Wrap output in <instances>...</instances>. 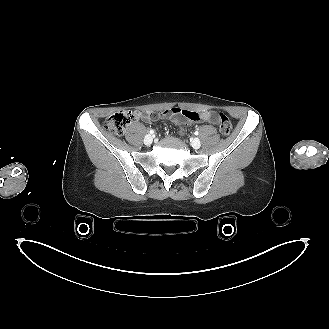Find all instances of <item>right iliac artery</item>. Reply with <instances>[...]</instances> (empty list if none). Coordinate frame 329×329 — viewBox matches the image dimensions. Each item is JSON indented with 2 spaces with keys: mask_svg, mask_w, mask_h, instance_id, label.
<instances>
[{
  "mask_svg": "<svg viewBox=\"0 0 329 329\" xmlns=\"http://www.w3.org/2000/svg\"><path fill=\"white\" fill-rule=\"evenodd\" d=\"M150 134H154V130H150Z\"/></svg>",
  "mask_w": 329,
  "mask_h": 329,
  "instance_id": "right-iliac-artery-1",
  "label": "right iliac artery"
}]
</instances>
